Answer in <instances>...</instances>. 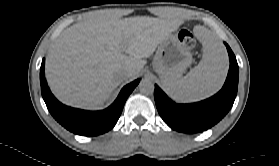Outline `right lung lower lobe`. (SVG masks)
<instances>
[{"instance_id": "obj_1", "label": "right lung lower lobe", "mask_w": 279, "mask_h": 166, "mask_svg": "<svg viewBox=\"0 0 279 166\" xmlns=\"http://www.w3.org/2000/svg\"><path fill=\"white\" fill-rule=\"evenodd\" d=\"M44 62L40 69V83L42 97L51 115L69 131L82 136H96L112 129L118 121L124 104L140 82L139 79L126 85L118 95L114 103L102 111H85L71 108L61 104L51 93L45 76Z\"/></svg>"}]
</instances>
